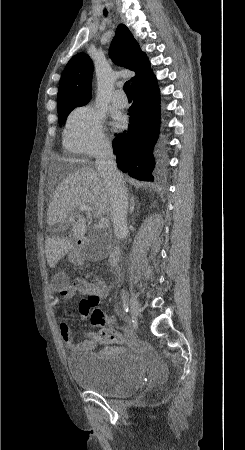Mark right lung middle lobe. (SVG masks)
Listing matches in <instances>:
<instances>
[{
    "label": "right lung middle lobe",
    "mask_w": 245,
    "mask_h": 450,
    "mask_svg": "<svg viewBox=\"0 0 245 450\" xmlns=\"http://www.w3.org/2000/svg\"><path fill=\"white\" fill-rule=\"evenodd\" d=\"M85 104L66 103L57 106L59 122L62 124L65 121L66 116L77 106H83Z\"/></svg>",
    "instance_id": "obj_1"
}]
</instances>
